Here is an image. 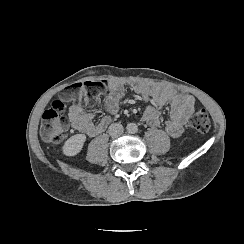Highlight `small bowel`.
I'll return each instance as SVG.
<instances>
[{"label":"small bowel","instance_id":"c3829d8e","mask_svg":"<svg viewBox=\"0 0 244 244\" xmlns=\"http://www.w3.org/2000/svg\"><path fill=\"white\" fill-rule=\"evenodd\" d=\"M103 104L105 114L94 123V114L85 111L81 103L69 108V118L74 129L85 136L93 137L103 133L111 122L112 116L127 89L135 92L145 103L142 121L151 127L162 124L161 109L169 106L168 117L163 123L164 130L172 138H179L186 123L195 110V98L185 90L158 83L134 80H110Z\"/></svg>","mask_w":244,"mask_h":244}]
</instances>
